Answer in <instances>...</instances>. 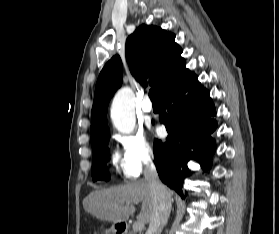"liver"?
<instances>
[{"label": "liver", "instance_id": "1", "mask_svg": "<svg viewBox=\"0 0 279 234\" xmlns=\"http://www.w3.org/2000/svg\"><path fill=\"white\" fill-rule=\"evenodd\" d=\"M139 202H142V207L137 218L143 223H148L153 214V198L146 180L93 191L84 199L83 207L97 219L121 223L135 212L134 205Z\"/></svg>", "mask_w": 279, "mask_h": 234}]
</instances>
